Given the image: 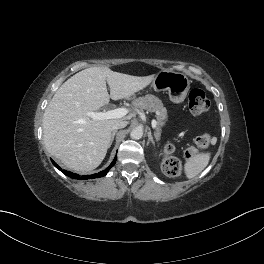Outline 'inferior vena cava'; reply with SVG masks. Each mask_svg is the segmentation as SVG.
Here are the masks:
<instances>
[{"label": "inferior vena cava", "instance_id": "1", "mask_svg": "<svg viewBox=\"0 0 264 264\" xmlns=\"http://www.w3.org/2000/svg\"><path fill=\"white\" fill-rule=\"evenodd\" d=\"M127 122L126 121H119L117 123H115L113 126H112V130H117V129H121V128H124L127 126Z\"/></svg>", "mask_w": 264, "mask_h": 264}]
</instances>
